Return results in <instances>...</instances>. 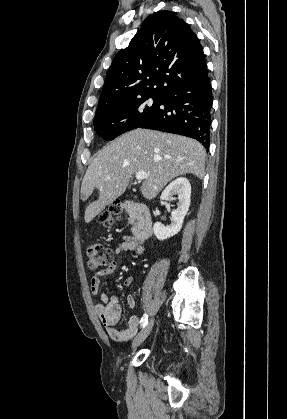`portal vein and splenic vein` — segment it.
Listing matches in <instances>:
<instances>
[{"label": "portal vein and splenic vein", "instance_id": "1", "mask_svg": "<svg viewBox=\"0 0 287 419\" xmlns=\"http://www.w3.org/2000/svg\"><path fill=\"white\" fill-rule=\"evenodd\" d=\"M135 177L137 180H144L147 178V174L144 171H139L136 173ZM107 179H109V177H107Z\"/></svg>", "mask_w": 287, "mask_h": 419}]
</instances>
